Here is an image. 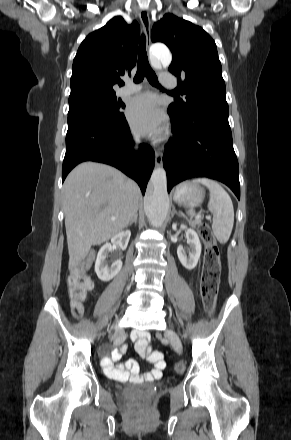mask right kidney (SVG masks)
Segmentation results:
<instances>
[{
	"instance_id": "right-kidney-1",
	"label": "right kidney",
	"mask_w": 291,
	"mask_h": 440,
	"mask_svg": "<svg viewBox=\"0 0 291 440\" xmlns=\"http://www.w3.org/2000/svg\"><path fill=\"white\" fill-rule=\"evenodd\" d=\"M131 236L130 230L122 231L111 238L110 243H105L99 250L95 262V272L102 281H110L114 278L122 268L120 259L114 261L109 267L107 257L113 251L114 246L118 245L122 249L126 248Z\"/></svg>"
}]
</instances>
